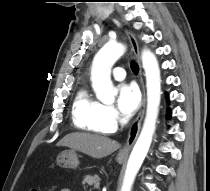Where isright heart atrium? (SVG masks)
<instances>
[{
    "label": "right heart atrium",
    "mask_w": 210,
    "mask_h": 191,
    "mask_svg": "<svg viewBox=\"0 0 210 191\" xmlns=\"http://www.w3.org/2000/svg\"><path fill=\"white\" fill-rule=\"evenodd\" d=\"M107 108V118L110 122L115 123L118 121V113L112 106H106Z\"/></svg>",
    "instance_id": "1"
}]
</instances>
